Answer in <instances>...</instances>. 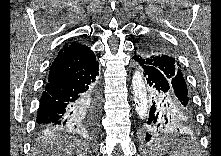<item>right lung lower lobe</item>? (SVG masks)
Segmentation results:
<instances>
[{
  "label": "right lung lower lobe",
  "instance_id": "1",
  "mask_svg": "<svg viewBox=\"0 0 221 156\" xmlns=\"http://www.w3.org/2000/svg\"><path fill=\"white\" fill-rule=\"evenodd\" d=\"M99 63L49 81L37 112L38 134L96 127L100 112Z\"/></svg>",
  "mask_w": 221,
  "mask_h": 156
}]
</instances>
